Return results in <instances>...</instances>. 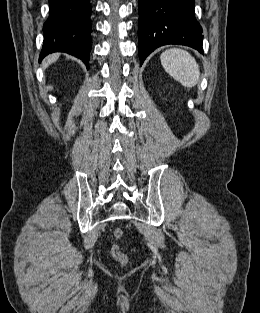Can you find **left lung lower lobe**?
Returning <instances> with one entry per match:
<instances>
[{
    "label": "left lung lower lobe",
    "instance_id": "1",
    "mask_svg": "<svg viewBox=\"0 0 260 313\" xmlns=\"http://www.w3.org/2000/svg\"><path fill=\"white\" fill-rule=\"evenodd\" d=\"M195 0H139L138 52L141 64L157 47L186 45L203 53Z\"/></svg>",
    "mask_w": 260,
    "mask_h": 313
}]
</instances>
